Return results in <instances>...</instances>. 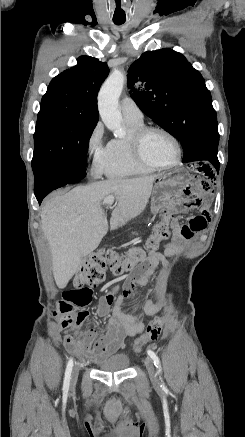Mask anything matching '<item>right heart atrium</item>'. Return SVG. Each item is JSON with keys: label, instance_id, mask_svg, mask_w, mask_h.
<instances>
[{"label": "right heart atrium", "instance_id": "d8ad5b80", "mask_svg": "<svg viewBox=\"0 0 245 437\" xmlns=\"http://www.w3.org/2000/svg\"><path fill=\"white\" fill-rule=\"evenodd\" d=\"M108 144L105 143V129L101 122H98L89 134L86 144V153L91 161L92 170L95 175L103 172V164L106 158Z\"/></svg>", "mask_w": 245, "mask_h": 437}]
</instances>
